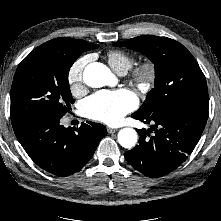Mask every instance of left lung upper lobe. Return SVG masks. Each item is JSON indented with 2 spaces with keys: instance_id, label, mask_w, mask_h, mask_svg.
<instances>
[{
  "instance_id": "1",
  "label": "left lung upper lobe",
  "mask_w": 221,
  "mask_h": 221,
  "mask_svg": "<svg viewBox=\"0 0 221 221\" xmlns=\"http://www.w3.org/2000/svg\"><path fill=\"white\" fill-rule=\"evenodd\" d=\"M113 45L141 52L155 65V88L148 93L137 113L147 116L162 114L183 105H196L208 110L205 76L182 44L167 37L143 35Z\"/></svg>"
}]
</instances>
